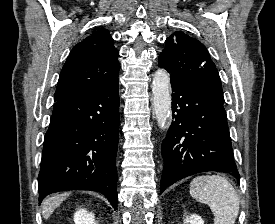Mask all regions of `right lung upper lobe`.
<instances>
[{
  "label": "right lung upper lobe",
  "mask_w": 275,
  "mask_h": 224,
  "mask_svg": "<svg viewBox=\"0 0 275 224\" xmlns=\"http://www.w3.org/2000/svg\"><path fill=\"white\" fill-rule=\"evenodd\" d=\"M117 49L108 30H97L78 43L67 58L54 101H61L109 88L118 82Z\"/></svg>",
  "instance_id": "1"
}]
</instances>
